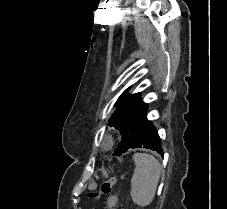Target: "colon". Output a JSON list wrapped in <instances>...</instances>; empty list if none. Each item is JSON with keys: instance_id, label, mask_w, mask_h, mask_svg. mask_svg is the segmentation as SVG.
<instances>
[{"instance_id": "1", "label": "colon", "mask_w": 227, "mask_h": 209, "mask_svg": "<svg viewBox=\"0 0 227 209\" xmlns=\"http://www.w3.org/2000/svg\"><path fill=\"white\" fill-rule=\"evenodd\" d=\"M116 184V179L115 178H108L104 181H102L101 183V186H100V191L102 193H106V192H109L111 191L114 186ZM89 197L92 198V199H97L99 197V193L97 191H92V192H89Z\"/></svg>"}]
</instances>
